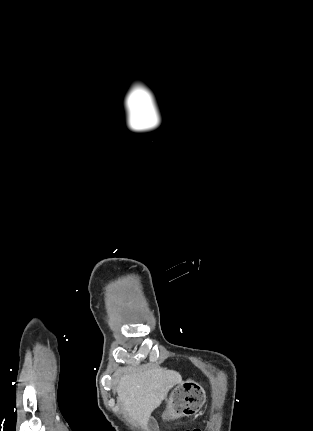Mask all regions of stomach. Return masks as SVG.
Returning <instances> with one entry per match:
<instances>
[{"instance_id": "obj_1", "label": "stomach", "mask_w": 313, "mask_h": 431, "mask_svg": "<svg viewBox=\"0 0 313 431\" xmlns=\"http://www.w3.org/2000/svg\"><path fill=\"white\" fill-rule=\"evenodd\" d=\"M206 394L200 384L187 380L178 384L167 400L164 418L175 419L194 415L203 406Z\"/></svg>"}]
</instances>
